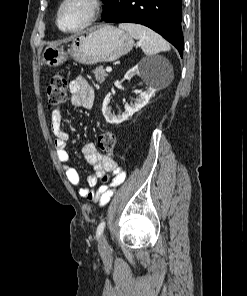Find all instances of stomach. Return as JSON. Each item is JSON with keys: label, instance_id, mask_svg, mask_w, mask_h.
<instances>
[{"label": "stomach", "instance_id": "1", "mask_svg": "<svg viewBox=\"0 0 247 296\" xmlns=\"http://www.w3.org/2000/svg\"><path fill=\"white\" fill-rule=\"evenodd\" d=\"M134 45L132 37L112 25H103L77 34L64 51L48 46L42 51V60L50 68L63 64L69 57L85 65L112 62L129 53Z\"/></svg>", "mask_w": 247, "mask_h": 296}]
</instances>
